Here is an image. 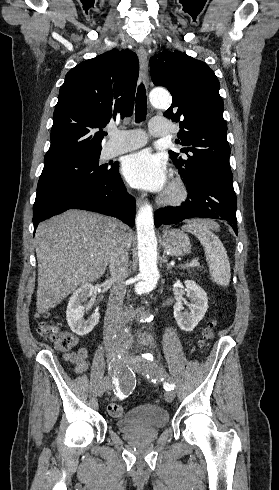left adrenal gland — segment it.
Returning <instances> with one entry per match:
<instances>
[{"label":"left adrenal gland","instance_id":"1","mask_svg":"<svg viewBox=\"0 0 279 490\" xmlns=\"http://www.w3.org/2000/svg\"><path fill=\"white\" fill-rule=\"evenodd\" d=\"M162 260H163L164 264H166L167 256H163ZM166 266H167L168 270H170V268H171L170 264H166Z\"/></svg>","mask_w":279,"mask_h":490}]
</instances>
